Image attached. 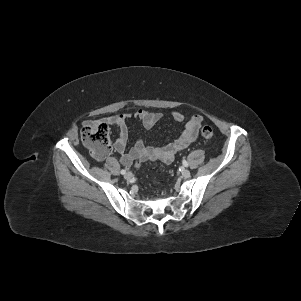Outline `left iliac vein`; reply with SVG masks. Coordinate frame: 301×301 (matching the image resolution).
I'll use <instances>...</instances> for the list:
<instances>
[{"mask_svg": "<svg viewBox=\"0 0 301 301\" xmlns=\"http://www.w3.org/2000/svg\"><path fill=\"white\" fill-rule=\"evenodd\" d=\"M190 171L189 170H187V169H183L182 170V177L183 178H189L190 177Z\"/></svg>", "mask_w": 301, "mask_h": 301, "instance_id": "left-iliac-vein-1", "label": "left iliac vein"}]
</instances>
